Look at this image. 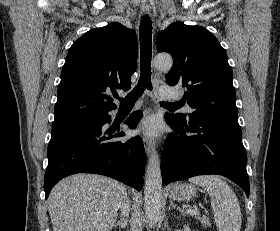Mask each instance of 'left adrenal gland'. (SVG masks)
Instances as JSON below:
<instances>
[{
  "mask_svg": "<svg viewBox=\"0 0 280 231\" xmlns=\"http://www.w3.org/2000/svg\"><path fill=\"white\" fill-rule=\"evenodd\" d=\"M172 207H176V209H179V211H182V213H184V209H182V207H179V205H177V203H173V201H170V205H169L168 209H172Z\"/></svg>",
  "mask_w": 280,
  "mask_h": 231,
  "instance_id": "a2214340",
  "label": "left adrenal gland"
}]
</instances>
